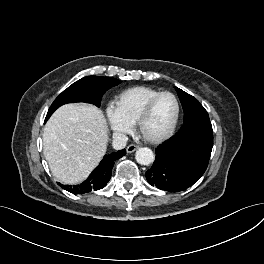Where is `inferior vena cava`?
Here are the masks:
<instances>
[{"label":"inferior vena cava","mask_w":264,"mask_h":264,"mask_svg":"<svg viewBox=\"0 0 264 264\" xmlns=\"http://www.w3.org/2000/svg\"><path fill=\"white\" fill-rule=\"evenodd\" d=\"M127 141L128 137L125 134L119 132L113 133L112 145L114 149L120 150L125 148Z\"/></svg>","instance_id":"602c4592"}]
</instances>
